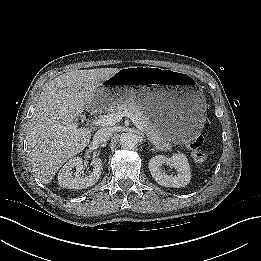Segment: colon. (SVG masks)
Returning a JSON list of instances; mask_svg holds the SVG:
<instances>
[{
	"label": "colon",
	"instance_id": "1",
	"mask_svg": "<svg viewBox=\"0 0 261 261\" xmlns=\"http://www.w3.org/2000/svg\"><path fill=\"white\" fill-rule=\"evenodd\" d=\"M203 143L204 139L201 135L195 136L190 143L191 155L196 161H204L208 157V153L202 149Z\"/></svg>",
	"mask_w": 261,
	"mask_h": 261
}]
</instances>
